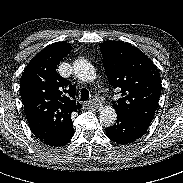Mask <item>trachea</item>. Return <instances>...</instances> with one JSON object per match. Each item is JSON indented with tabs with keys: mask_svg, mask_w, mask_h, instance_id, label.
<instances>
[{
	"mask_svg": "<svg viewBox=\"0 0 183 183\" xmlns=\"http://www.w3.org/2000/svg\"><path fill=\"white\" fill-rule=\"evenodd\" d=\"M89 99V91L85 88H83L81 90V97H80V101L84 102L87 101Z\"/></svg>",
	"mask_w": 183,
	"mask_h": 183,
	"instance_id": "3493384b",
	"label": "trachea"
}]
</instances>
